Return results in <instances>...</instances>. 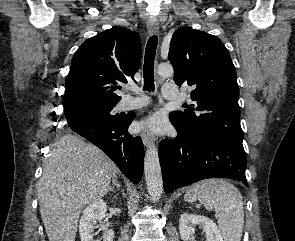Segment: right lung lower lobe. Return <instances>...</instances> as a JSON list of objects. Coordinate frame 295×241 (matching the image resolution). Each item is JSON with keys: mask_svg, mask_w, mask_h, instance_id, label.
Segmentation results:
<instances>
[{"mask_svg": "<svg viewBox=\"0 0 295 241\" xmlns=\"http://www.w3.org/2000/svg\"><path fill=\"white\" fill-rule=\"evenodd\" d=\"M135 115L122 120L87 118L68 123V127L104 151L134 184L142 178L144 149L140 137L127 129Z\"/></svg>", "mask_w": 295, "mask_h": 241, "instance_id": "right-lung-lower-lobe-1", "label": "right lung lower lobe"}]
</instances>
